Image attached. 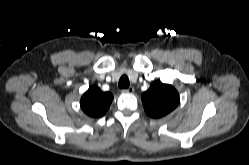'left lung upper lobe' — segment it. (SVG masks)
Returning <instances> with one entry per match:
<instances>
[{
    "label": "left lung upper lobe",
    "mask_w": 249,
    "mask_h": 165,
    "mask_svg": "<svg viewBox=\"0 0 249 165\" xmlns=\"http://www.w3.org/2000/svg\"><path fill=\"white\" fill-rule=\"evenodd\" d=\"M142 103L147 115L161 118L178 106L179 94L173 86L155 81L142 94Z\"/></svg>",
    "instance_id": "left-lung-upper-lobe-1"
}]
</instances>
